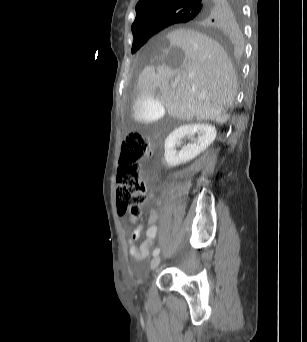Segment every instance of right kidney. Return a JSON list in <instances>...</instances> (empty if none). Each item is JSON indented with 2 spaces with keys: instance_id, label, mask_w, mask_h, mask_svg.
Returning a JSON list of instances; mask_svg holds the SVG:
<instances>
[{
  "instance_id": "right-kidney-1",
  "label": "right kidney",
  "mask_w": 307,
  "mask_h": 342,
  "mask_svg": "<svg viewBox=\"0 0 307 342\" xmlns=\"http://www.w3.org/2000/svg\"><path fill=\"white\" fill-rule=\"evenodd\" d=\"M199 134L195 144H187L180 152L175 150L176 144L184 138V136H194ZM217 130L215 126L211 124H186V126H180L173 130L169 136H167L164 144L165 148V162L169 168L174 166H180V164H186L190 162L196 156H199L201 152H204L216 138Z\"/></svg>"
}]
</instances>
